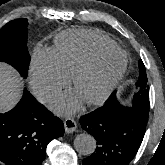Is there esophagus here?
<instances>
[{
  "label": "esophagus",
  "mask_w": 165,
  "mask_h": 165,
  "mask_svg": "<svg viewBox=\"0 0 165 165\" xmlns=\"http://www.w3.org/2000/svg\"><path fill=\"white\" fill-rule=\"evenodd\" d=\"M64 127L67 133H73L77 128V124L74 119L67 118L64 120Z\"/></svg>",
  "instance_id": "obj_1"
}]
</instances>
